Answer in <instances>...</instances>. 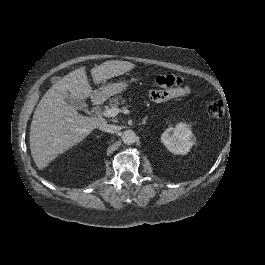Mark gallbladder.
<instances>
[{
  "instance_id": "1",
  "label": "gallbladder",
  "mask_w": 265,
  "mask_h": 265,
  "mask_svg": "<svg viewBox=\"0 0 265 265\" xmlns=\"http://www.w3.org/2000/svg\"><path fill=\"white\" fill-rule=\"evenodd\" d=\"M60 79L61 78L58 76L51 77V82L54 84ZM65 102H67L68 104L74 107H77L79 110H86L87 108V104L85 101H80L78 99L73 98L70 93H68L67 96L65 97Z\"/></svg>"
}]
</instances>
